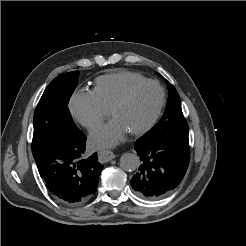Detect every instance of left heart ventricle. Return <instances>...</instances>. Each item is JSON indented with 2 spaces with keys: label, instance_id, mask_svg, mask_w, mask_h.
<instances>
[{
  "label": "left heart ventricle",
  "instance_id": "b2bd125f",
  "mask_svg": "<svg viewBox=\"0 0 246 246\" xmlns=\"http://www.w3.org/2000/svg\"><path fill=\"white\" fill-rule=\"evenodd\" d=\"M160 92L155 85H145L137 89L130 99L113 117L119 120L127 131L144 126L153 116L158 106Z\"/></svg>",
  "mask_w": 246,
  "mask_h": 246
}]
</instances>
